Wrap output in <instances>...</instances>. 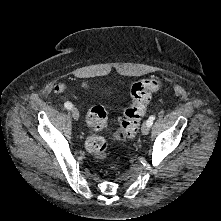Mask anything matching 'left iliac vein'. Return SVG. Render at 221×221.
<instances>
[{"mask_svg": "<svg viewBox=\"0 0 221 221\" xmlns=\"http://www.w3.org/2000/svg\"><path fill=\"white\" fill-rule=\"evenodd\" d=\"M150 126L146 123L142 125L141 131L143 135H147L149 133Z\"/></svg>", "mask_w": 221, "mask_h": 221, "instance_id": "1", "label": "left iliac vein"}]
</instances>
